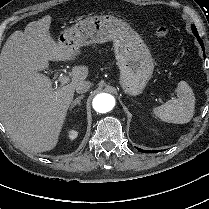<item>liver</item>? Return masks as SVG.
I'll list each match as a JSON object with an SVG mask.
<instances>
[{
    "instance_id": "1",
    "label": "liver",
    "mask_w": 209,
    "mask_h": 209,
    "mask_svg": "<svg viewBox=\"0 0 209 209\" xmlns=\"http://www.w3.org/2000/svg\"><path fill=\"white\" fill-rule=\"evenodd\" d=\"M51 21L46 15L13 32L0 55V121L14 142L34 152L56 146L75 87L88 76V67L75 66L70 83L52 88L39 73L49 61L75 58L52 37Z\"/></svg>"
}]
</instances>
